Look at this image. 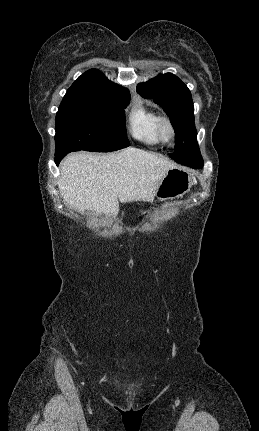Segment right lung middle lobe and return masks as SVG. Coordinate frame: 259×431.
<instances>
[{"label": "right lung middle lobe", "mask_w": 259, "mask_h": 431, "mask_svg": "<svg viewBox=\"0 0 259 431\" xmlns=\"http://www.w3.org/2000/svg\"><path fill=\"white\" fill-rule=\"evenodd\" d=\"M129 100L130 93L64 96L56 114V152H109L127 147L124 108Z\"/></svg>", "instance_id": "1"}]
</instances>
